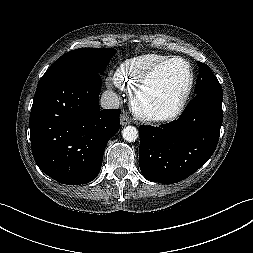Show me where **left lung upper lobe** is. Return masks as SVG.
I'll list each match as a JSON object with an SVG mask.
<instances>
[{"label": "left lung upper lobe", "mask_w": 253, "mask_h": 253, "mask_svg": "<svg viewBox=\"0 0 253 253\" xmlns=\"http://www.w3.org/2000/svg\"><path fill=\"white\" fill-rule=\"evenodd\" d=\"M198 66L199 76L194 90L196 95L201 93L223 94L222 87L209 66L201 62H198Z\"/></svg>", "instance_id": "1"}]
</instances>
